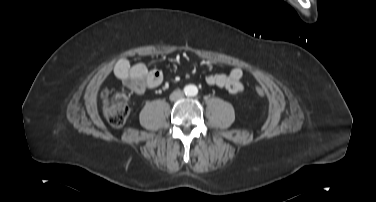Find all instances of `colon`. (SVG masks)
Returning a JSON list of instances; mask_svg holds the SVG:
<instances>
[{
	"instance_id": "obj_1",
	"label": "colon",
	"mask_w": 376,
	"mask_h": 202,
	"mask_svg": "<svg viewBox=\"0 0 376 202\" xmlns=\"http://www.w3.org/2000/svg\"><path fill=\"white\" fill-rule=\"evenodd\" d=\"M258 96H263L265 90L262 87L256 88ZM103 113L108 123L114 128L122 127L129 115L128 97L124 93L114 95L104 94Z\"/></svg>"
}]
</instances>
